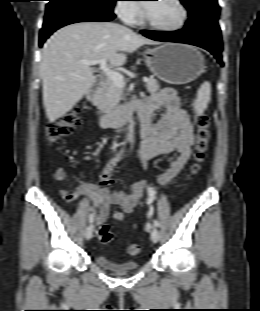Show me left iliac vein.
<instances>
[{
  "instance_id": "left-iliac-vein-1",
  "label": "left iliac vein",
  "mask_w": 260,
  "mask_h": 311,
  "mask_svg": "<svg viewBox=\"0 0 260 311\" xmlns=\"http://www.w3.org/2000/svg\"><path fill=\"white\" fill-rule=\"evenodd\" d=\"M160 238V233H159V230L156 228V227H153L151 229V239L154 243L158 242Z\"/></svg>"
}]
</instances>
